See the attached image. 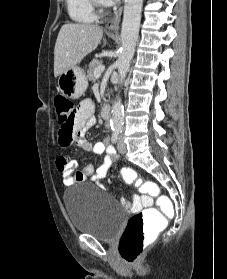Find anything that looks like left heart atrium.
Listing matches in <instances>:
<instances>
[{"instance_id":"left-heart-atrium-1","label":"left heart atrium","mask_w":227,"mask_h":279,"mask_svg":"<svg viewBox=\"0 0 227 279\" xmlns=\"http://www.w3.org/2000/svg\"><path fill=\"white\" fill-rule=\"evenodd\" d=\"M116 0H100V2L102 4H105V5H111L115 2Z\"/></svg>"}]
</instances>
